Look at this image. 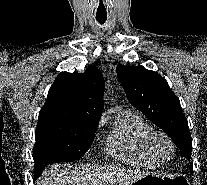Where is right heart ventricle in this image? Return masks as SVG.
I'll use <instances>...</instances> for the list:
<instances>
[{
  "instance_id": "right-heart-ventricle-1",
  "label": "right heart ventricle",
  "mask_w": 207,
  "mask_h": 185,
  "mask_svg": "<svg viewBox=\"0 0 207 185\" xmlns=\"http://www.w3.org/2000/svg\"><path fill=\"white\" fill-rule=\"evenodd\" d=\"M151 130V126L137 114L131 111L121 112L107 140V150L127 163L142 166L158 164L159 160L150 152L146 143Z\"/></svg>"
}]
</instances>
